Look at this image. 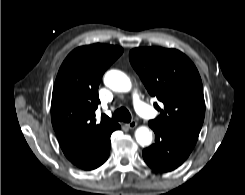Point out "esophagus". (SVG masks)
Masks as SVG:
<instances>
[{
	"mask_svg": "<svg viewBox=\"0 0 245 195\" xmlns=\"http://www.w3.org/2000/svg\"><path fill=\"white\" fill-rule=\"evenodd\" d=\"M129 129H134L137 126L136 121H130L129 123L125 124Z\"/></svg>",
	"mask_w": 245,
	"mask_h": 195,
	"instance_id": "esophagus-1",
	"label": "esophagus"
}]
</instances>
